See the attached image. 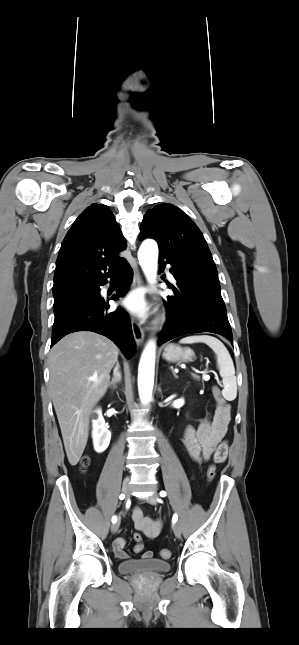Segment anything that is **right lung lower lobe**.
Returning <instances> with one entry per match:
<instances>
[{
  "mask_svg": "<svg viewBox=\"0 0 299 645\" xmlns=\"http://www.w3.org/2000/svg\"><path fill=\"white\" fill-rule=\"evenodd\" d=\"M117 271L122 274V280L116 296L121 297L130 286L132 269L125 261ZM115 273L109 278L112 279ZM106 279L94 284L95 294L91 300L79 303L55 317L51 347L69 333L92 331L114 341L127 359L132 356L136 344L127 313L121 308H117L114 312H107L109 309L108 300L100 295L99 287L106 284ZM117 297H112V299L116 300Z\"/></svg>",
  "mask_w": 299,
  "mask_h": 645,
  "instance_id": "98d812e1",
  "label": "right lung lower lobe"
}]
</instances>
